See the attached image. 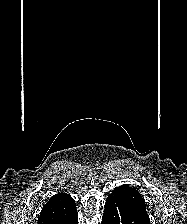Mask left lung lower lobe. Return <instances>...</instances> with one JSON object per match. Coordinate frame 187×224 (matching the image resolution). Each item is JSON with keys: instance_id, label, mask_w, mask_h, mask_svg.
Segmentation results:
<instances>
[{"instance_id": "obj_1", "label": "left lung lower lobe", "mask_w": 187, "mask_h": 224, "mask_svg": "<svg viewBox=\"0 0 187 224\" xmlns=\"http://www.w3.org/2000/svg\"><path fill=\"white\" fill-rule=\"evenodd\" d=\"M104 208L101 224H150L149 216L136 210L118 189L108 196Z\"/></svg>"}]
</instances>
